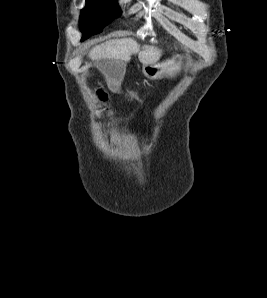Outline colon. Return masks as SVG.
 <instances>
[{
  "mask_svg": "<svg viewBox=\"0 0 267 298\" xmlns=\"http://www.w3.org/2000/svg\"><path fill=\"white\" fill-rule=\"evenodd\" d=\"M99 96L102 100H105L106 99V94L102 91L99 92Z\"/></svg>",
  "mask_w": 267,
  "mask_h": 298,
  "instance_id": "5ec220e1",
  "label": "colon"
}]
</instances>
